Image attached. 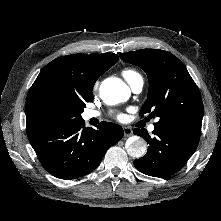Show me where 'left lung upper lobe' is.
I'll use <instances>...</instances> for the list:
<instances>
[{
	"label": "left lung upper lobe",
	"instance_id": "left-lung-upper-lobe-1",
	"mask_svg": "<svg viewBox=\"0 0 221 221\" xmlns=\"http://www.w3.org/2000/svg\"><path fill=\"white\" fill-rule=\"evenodd\" d=\"M119 56L147 74L149 91L141 114L158 117L155 127L199 139L203 103L184 64L173 54L159 49L130 51Z\"/></svg>",
	"mask_w": 221,
	"mask_h": 221
}]
</instances>
